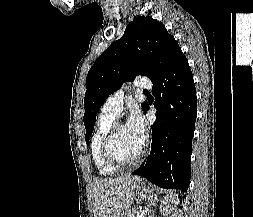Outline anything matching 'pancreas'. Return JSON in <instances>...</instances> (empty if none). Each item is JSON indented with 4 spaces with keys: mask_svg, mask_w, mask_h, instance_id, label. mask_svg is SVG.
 <instances>
[{
    "mask_svg": "<svg viewBox=\"0 0 253 217\" xmlns=\"http://www.w3.org/2000/svg\"><path fill=\"white\" fill-rule=\"evenodd\" d=\"M140 211L135 209V210H130L128 213L125 214L124 217H136L135 215L138 214Z\"/></svg>",
    "mask_w": 253,
    "mask_h": 217,
    "instance_id": "cf45deb5",
    "label": "pancreas"
}]
</instances>
